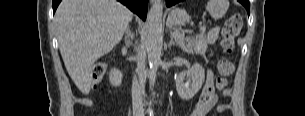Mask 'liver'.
Here are the masks:
<instances>
[{
    "instance_id": "liver-1",
    "label": "liver",
    "mask_w": 305,
    "mask_h": 116,
    "mask_svg": "<svg viewBox=\"0 0 305 116\" xmlns=\"http://www.w3.org/2000/svg\"><path fill=\"white\" fill-rule=\"evenodd\" d=\"M133 13L116 0H62L54 23L65 67L78 89L90 92L92 66L122 39Z\"/></svg>"
}]
</instances>
